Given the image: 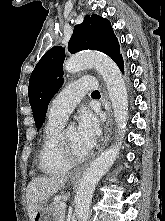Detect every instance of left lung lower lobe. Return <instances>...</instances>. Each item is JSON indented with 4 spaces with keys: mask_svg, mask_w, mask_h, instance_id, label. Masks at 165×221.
Listing matches in <instances>:
<instances>
[{
    "mask_svg": "<svg viewBox=\"0 0 165 221\" xmlns=\"http://www.w3.org/2000/svg\"><path fill=\"white\" fill-rule=\"evenodd\" d=\"M116 64L118 65L120 70L123 72L124 65H123V58L122 57L116 62Z\"/></svg>",
    "mask_w": 165,
    "mask_h": 221,
    "instance_id": "1",
    "label": "left lung lower lobe"
}]
</instances>
